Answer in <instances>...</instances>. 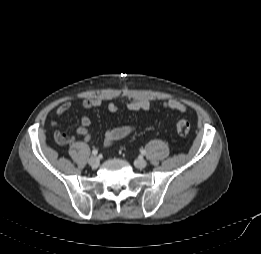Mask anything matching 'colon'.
<instances>
[{"instance_id":"1","label":"colon","mask_w":261,"mask_h":254,"mask_svg":"<svg viewBox=\"0 0 261 254\" xmlns=\"http://www.w3.org/2000/svg\"><path fill=\"white\" fill-rule=\"evenodd\" d=\"M190 123L185 119L178 120L176 122V129L179 135L187 136L190 132Z\"/></svg>"}]
</instances>
